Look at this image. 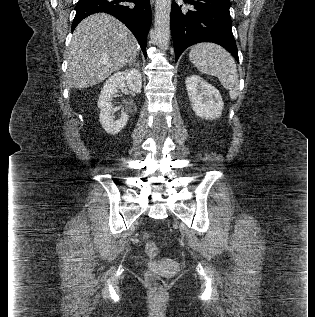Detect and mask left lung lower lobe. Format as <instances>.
I'll list each match as a JSON object with an SVG mask.
<instances>
[{
	"mask_svg": "<svg viewBox=\"0 0 315 317\" xmlns=\"http://www.w3.org/2000/svg\"><path fill=\"white\" fill-rule=\"evenodd\" d=\"M192 10L173 3L170 28L175 60L189 46L199 42L221 45L239 61L238 50L231 28L229 0H187Z\"/></svg>",
	"mask_w": 315,
	"mask_h": 317,
	"instance_id": "left-lung-lower-lobe-1",
	"label": "left lung lower lobe"
}]
</instances>
